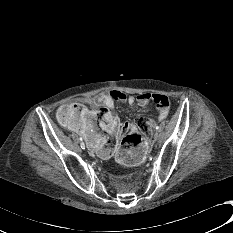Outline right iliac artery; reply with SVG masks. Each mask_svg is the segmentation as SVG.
<instances>
[{
    "label": "right iliac artery",
    "instance_id": "obj_1",
    "mask_svg": "<svg viewBox=\"0 0 233 233\" xmlns=\"http://www.w3.org/2000/svg\"><path fill=\"white\" fill-rule=\"evenodd\" d=\"M80 140L82 141V137H80ZM80 146H81L82 149H85V144H83V145L80 144Z\"/></svg>",
    "mask_w": 233,
    "mask_h": 233
}]
</instances>
